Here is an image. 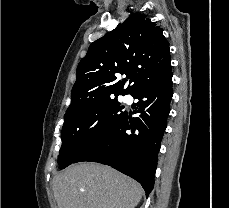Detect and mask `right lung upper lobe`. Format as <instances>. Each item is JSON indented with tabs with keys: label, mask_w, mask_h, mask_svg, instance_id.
Segmentation results:
<instances>
[{
	"label": "right lung upper lobe",
	"mask_w": 229,
	"mask_h": 208,
	"mask_svg": "<svg viewBox=\"0 0 229 208\" xmlns=\"http://www.w3.org/2000/svg\"><path fill=\"white\" fill-rule=\"evenodd\" d=\"M163 30L145 16L132 14L118 28L90 44L77 67L71 104L65 117L96 103L134 94L143 85L165 75L170 65L169 43ZM131 78L126 89V79Z\"/></svg>",
	"instance_id": "1"
}]
</instances>
